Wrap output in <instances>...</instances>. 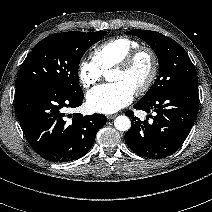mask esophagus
Instances as JSON below:
<instances>
[{
    "label": "esophagus",
    "mask_w": 212,
    "mask_h": 212,
    "mask_svg": "<svg viewBox=\"0 0 212 212\" xmlns=\"http://www.w3.org/2000/svg\"><path fill=\"white\" fill-rule=\"evenodd\" d=\"M116 117V115L114 114V115H107V118L108 119H114Z\"/></svg>",
    "instance_id": "obj_1"
}]
</instances>
